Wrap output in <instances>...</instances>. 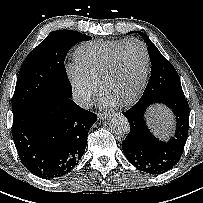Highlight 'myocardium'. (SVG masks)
I'll list each match as a JSON object with an SVG mask.
<instances>
[{
    "instance_id": "obj_1",
    "label": "myocardium",
    "mask_w": 203,
    "mask_h": 203,
    "mask_svg": "<svg viewBox=\"0 0 203 203\" xmlns=\"http://www.w3.org/2000/svg\"><path fill=\"white\" fill-rule=\"evenodd\" d=\"M131 43H137L142 47L144 52V57H145V65H144V71H143L141 81L136 91L128 99L118 102V104L121 106H128L136 102L146 87L149 72H150V54L146 44L137 38H131V39L125 40L112 54L111 58L109 59L108 63L106 64L101 74L100 81H99L101 92H105L107 81L109 80L110 76L112 75V73L116 68L121 51Z\"/></svg>"
}]
</instances>
